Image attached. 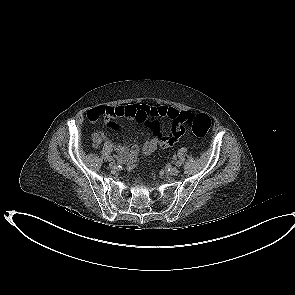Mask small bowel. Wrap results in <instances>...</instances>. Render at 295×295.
Returning a JSON list of instances; mask_svg holds the SVG:
<instances>
[{"mask_svg": "<svg viewBox=\"0 0 295 295\" xmlns=\"http://www.w3.org/2000/svg\"><path fill=\"white\" fill-rule=\"evenodd\" d=\"M189 113L187 111H178L168 106L151 107L145 104H128L116 107L93 108L87 112L89 121L94 122L97 119L105 120L107 124H111L112 119H127L143 122L147 125L152 133V138L157 142V148H169L173 146L180 138L178 117L180 114ZM97 117V119H96ZM169 121V131L162 133V121ZM105 139L102 131H99L94 138L96 145ZM107 146L114 147L119 159L127 164H132L139 149L134 145H117L113 146L107 142Z\"/></svg>", "mask_w": 295, "mask_h": 295, "instance_id": "c3829d8e", "label": "small bowel"}]
</instances>
